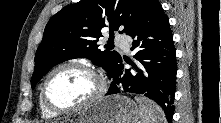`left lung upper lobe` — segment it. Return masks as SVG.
Segmentation results:
<instances>
[{
    "label": "left lung upper lobe",
    "instance_id": "1",
    "mask_svg": "<svg viewBox=\"0 0 221 123\" xmlns=\"http://www.w3.org/2000/svg\"><path fill=\"white\" fill-rule=\"evenodd\" d=\"M155 0H81L56 13L48 22L35 56L32 89L55 65L73 58H87L110 75L121 58L116 51L101 50V29L129 34ZM109 44V41H108Z\"/></svg>",
    "mask_w": 221,
    "mask_h": 123
}]
</instances>
